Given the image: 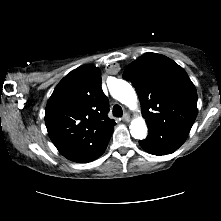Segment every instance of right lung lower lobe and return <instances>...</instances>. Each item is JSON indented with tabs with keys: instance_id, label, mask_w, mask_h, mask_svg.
<instances>
[{
	"instance_id": "obj_1",
	"label": "right lung lower lobe",
	"mask_w": 221,
	"mask_h": 221,
	"mask_svg": "<svg viewBox=\"0 0 221 221\" xmlns=\"http://www.w3.org/2000/svg\"><path fill=\"white\" fill-rule=\"evenodd\" d=\"M110 138H111V135L108 138H106L103 142H101L96 147V149H94L90 154H88L86 157H84L79 162L85 163V162H90V161L97 159L100 155H102V153L106 149Z\"/></svg>"
}]
</instances>
